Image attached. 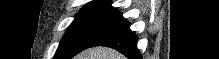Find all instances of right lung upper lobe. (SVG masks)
I'll list each match as a JSON object with an SVG mask.
<instances>
[{
  "label": "right lung upper lobe",
  "mask_w": 219,
  "mask_h": 59,
  "mask_svg": "<svg viewBox=\"0 0 219 59\" xmlns=\"http://www.w3.org/2000/svg\"><path fill=\"white\" fill-rule=\"evenodd\" d=\"M115 9L111 6L110 0H95L84 6L79 13H100V12H112Z\"/></svg>",
  "instance_id": "cb5924a9"
}]
</instances>
